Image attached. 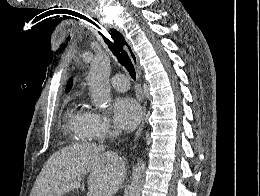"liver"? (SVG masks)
Listing matches in <instances>:
<instances>
[{
    "label": "liver",
    "instance_id": "liver-1",
    "mask_svg": "<svg viewBox=\"0 0 260 196\" xmlns=\"http://www.w3.org/2000/svg\"><path fill=\"white\" fill-rule=\"evenodd\" d=\"M126 162L96 144H73L55 152L43 166L30 196H61L62 188L87 178V196H114L126 178Z\"/></svg>",
    "mask_w": 260,
    "mask_h": 196
}]
</instances>
